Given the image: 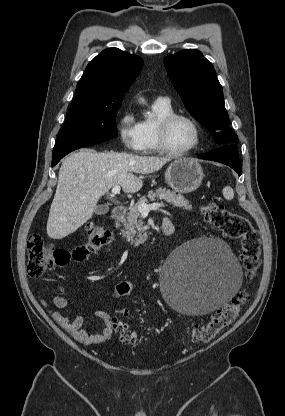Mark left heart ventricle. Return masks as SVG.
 Returning <instances> with one entry per match:
<instances>
[{"instance_id":"left-heart-ventricle-1","label":"left heart ventricle","mask_w":285,"mask_h":416,"mask_svg":"<svg viewBox=\"0 0 285 416\" xmlns=\"http://www.w3.org/2000/svg\"><path fill=\"white\" fill-rule=\"evenodd\" d=\"M169 145L176 151L190 148L195 142V132L192 125L185 119H177L168 132Z\"/></svg>"}]
</instances>
